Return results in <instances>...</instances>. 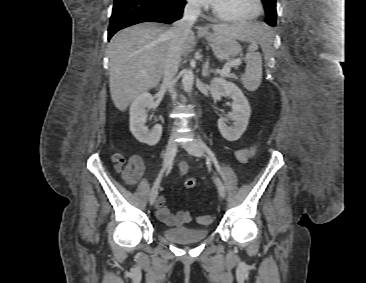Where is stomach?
<instances>
[{
    "label": "stomach",
    "mask_w": 366,
    "mask_h": 283,
    "mask_svg": "<svg viewBox=\"0 0 366 283\" xmlns=\"http://www.w3.org/2000/svg\"><path fill=\"white\" fill-rule=\"evenodd\" d=\"M210 43L214 55L220 60H228L237 56L242 48L237 39L217 32H200Z\"/></svg>",
    "instance_id": "obj_1"
}]
</instances>
